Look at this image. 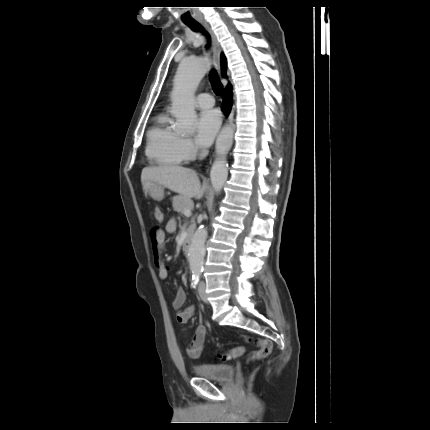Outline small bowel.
I'll use <instances>...</instances> for the list:
<instances>
[{
    "label": "small bowel",
    "mask_w": 430,
    "mask_h": 430,
    "mask_svg": "<svg viewBox=\"0 0 430 430\" xmlns=\"http://www.w3.org/2000/svg\"><path fill=\"white\" fill-rule=\"evenodd\" d=\"M176 229V222L171 219L167 222L164 229L160 227H154L150 231V240L153 247L154 263L158 270V275L161 280H166L168 277L169 268L165 265L163 260V252L165 248V237L168 233H173ZM186 269V266L184 267ZM185 292L179 288L177 290L176 297L172 301V307L176 311V320L180 324H186L194 315L195 307L189 305L183 307L185 302ZM206 327L203 324H199L192 339L186 343L185 351L191 358H198L204 348V342L206 337Z\"/></svg>",
    "instance_id": "c3829d8e"
}]
</instances>
